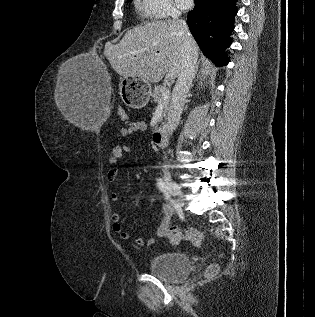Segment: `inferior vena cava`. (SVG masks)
<instances>
[{
  "label": "inferior vena cava",
  "instance_id": "inferior-vena-cava-1",
  "mask_svg": "<svg viewBox=\"0 0 315 317\" xmlns=\"http://www.w3.org/2000/svg\"><path fill=\"white\" fill-rule=\"evenodd\" d=\"M179 17V12L172 13V18L177 21L180 26V34L182 36V67L173 90L170 107L167 113L166 131L169 135L173 133L179 123L197 63V55L193 50L192 41L187 34L188 27L184 21L179 19Z\"/></svg>",
  "mask_w": 315,
  "mask_h": 317
}]
</instances>
